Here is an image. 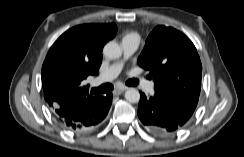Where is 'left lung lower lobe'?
Returning a JSON list of instances; mask_svg holds the SVG:
<instances>
[{
  "mask_svg": "<svg viewBox=\"0 0 244 157\" xmlns=\"http://www.w3.org/2000/svg\"><path fill=\"white\" fill-rule=\"evenodd\" d=\"M137 114L152 133L160 136L175 134L186 123L178 118L162 98L157 95L147 97L142 92Z\"/></svg>",
  "mask_w": 244,
  "mask_h": 157,
  "instance_id": "1",
  "label": "left lung lower lobe"
}]
</instances>
